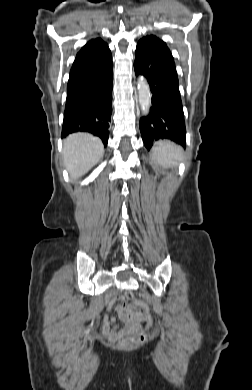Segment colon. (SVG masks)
I'll list each match as a JSON object with an SVG mask.
<instances>
[{"label": "colon", "instance_id": "obj_1", "mask_svg": "<svg viewBox=\"0 0 252 390\" xmlns=\"http://www.w3.org/2000/svg\"><path fill=\"white\" fill-rule=\"evenodd\" d=\"M125 297L127 300H133L134 295L131 291H127L125 293ZM148 325H151V320H148ZM146 339V333L143 329L137 330L134 334H132L130 337L126 338L122 343L121 346L124 348H132L135 346H138Z\"/></svg>", "mask_w": 252, "mask_h": 390}]
</instances>
